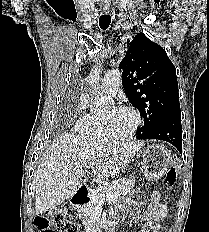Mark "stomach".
Masks as SVG:
<instances>
[{
  "instance_id": "obj_1",
  "label": "stomach",
  "mask_w": 209,
  "mask_h": 232,
  "mask_svg": "<svg viewBox=\"0 0 209 232\" xmlns=\"http://www.w3.org/2000/svg\"><path fill=\"white\" fill-rule=\"evenodd\" d=\"M142 156V171L147 178L162 177L170 163V153L162 145H148L141 151Z\"/></svg>"
}]
</instances>
